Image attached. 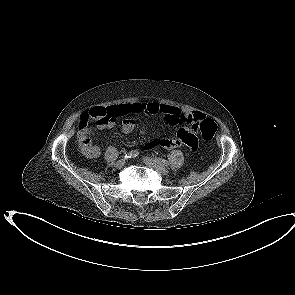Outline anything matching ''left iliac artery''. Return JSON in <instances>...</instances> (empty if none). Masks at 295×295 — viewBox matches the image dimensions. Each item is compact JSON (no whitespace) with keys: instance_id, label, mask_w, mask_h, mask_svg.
<instances>
[{"instance_id":"44dca946","label":"left iliac artery","mask_w":295,"mask_h":295,"mask_svg":"<svg viewBox=\"0 0 295 295\" xmlns=\"http://www.w3.org/2000/svg\"><path fill=\"white\" fill-rule=\"evenodd\" d=\"M156 161L161 164V165H164V166H167L169 163L167 160L165 159H162V158H156Z\"/></svg>"}]
</instances>
